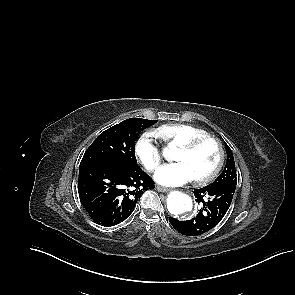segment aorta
<instances>
[{
    "label": "aorta",
    "instance_id": "obj_1",
    "mask_svg": "<svg viewBox=\"0 0 295 295\" xmlns=\"http://www.w3.org/2000/svg\"><path fill=\"white\" fill-rule=\"evenodd\" d=\"M167 209L174 216L187 214L193 209L192 198L183 192L173 191L167 196Z\"/></svg>",
    "mask_w": 295,
    "mask_h": 295
}]
</instances>
